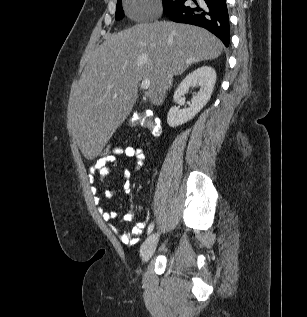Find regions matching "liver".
<instances>
[{
	"label": "liver",
	"instance_id": "6515ba94",
	"mask_svg": "<svg viewBox=\"0 0 307 317\" xmlns=\"http://www.w3.org/2000/svg\"><path fill=\"white\" fill-rule=\"evenodd\" d=\"M223 48L203 28L166 21L107 35L88 60L71 104L73 135L83 155L92 159L101 152L130 114L140 81L150 80L147 95L160 105L170 75L218 58Z\"/></svg>",
	"mask_w": 307,
	"mask_h": 317
}]
</instances>
